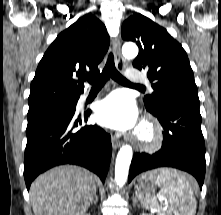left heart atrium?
<instances>
[{
    "instance_id": "1",
    "label": "left heart atrium",
    "mask_w": 221,
    "mask_h": 215,
    "mask_svg": "<svg viewBox=\"0 0 221 215\" xmlns=\"http://www.w3.org/2000/svg\"><path fill=\"white\" fill-rule=\"evenodd\" d=\"M96 119L106 127L129 131L137 126L138 112L133 100L124 92L116 91L96 106Z\"/></svg>"
}]
</instances>
